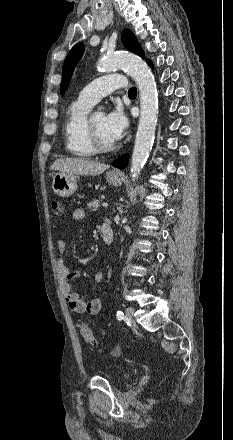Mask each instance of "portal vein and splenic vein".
<instances>
[{"label":"portal vein and splenic vein","mask_w":233,"mask_h":440,"mask_svg":"<svg viewBox=\"0 0 233 440\" xmlns=\"http://www.w3.org/2000/svg\"><path fill=\"white\" fill-rule=\"evenodd\" d=\"M102 206H103V207H107L108 204H107V203H103Z\"/></svg>","instance_id":"18ae733b"}]
</instances>
